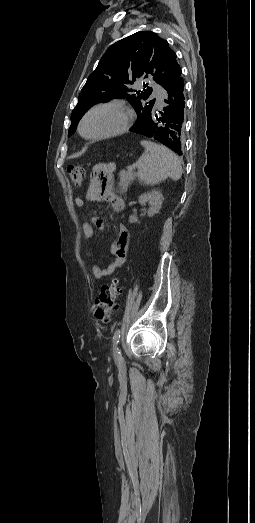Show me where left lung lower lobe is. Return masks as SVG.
<instances>
[{"label":"left lung lower lobe","mask_w":255,"mask_h":523,"mask_svg":"<svg viewBox=\"0 0 255 523\" xmlns=\"http://www.w3.org/2000/svg\"><path fill=\"white\" fill-rule=\"evenodd\" d=\"M185 81H178V85H172L163 94L164 102L158 109L151 110V117L148 118L143 127L134 130L137 135L144 137H155V140L165 148L170 147L172 151L180 154L183 151V128H184V107L187 100H184ZM171 96V97H170ZM165 112V114H164Z\"/></svg>","instance_id":"1"}]
</instances>
